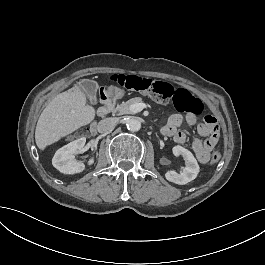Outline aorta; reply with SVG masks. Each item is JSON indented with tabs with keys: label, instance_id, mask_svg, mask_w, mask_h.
Segmentation results:
<instances>
[{
	"label": "aorta",
	"instance_id": "obj_1",
	"mask_svg": "<svg viewBox=\"0 0 265 265\" xmlns=\"http://www.w3.org/2000/svg\"><path fill=\"white\" fill-rule=\"evenodd\" d=\"M126 125L129 131L136 132L141 128V121L138 117H133L127 121Z\"/></svg>",
	"mask_w": 265,
	"mask_h": 265
}]
</instances>
